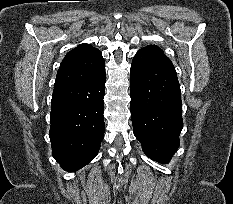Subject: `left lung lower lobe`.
<instances>
[{"mask_svg": "<svg viewBox=\"0 0 233 204\" xmlns=\"http://www.w3.org/2000/svg\"><path fill=\"white\" fill-rule=\"evenodd\" d=\"M130 74L134 135L147 156L168 162L179 147L183 127L175 68L164 53L143 48L134 56Z\"/></svg>", "mask_w": 233, "mask_h": 204, "instance_id": "obj_1", "label": "left lung lower lobe"}]
</instances>
